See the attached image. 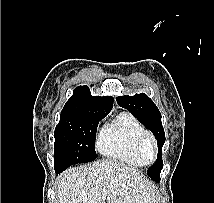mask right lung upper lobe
Returning <instances> with one entry per match:
<instances>
[{"mask_svg": "<svg viewBox=\"0 0 214 203\" xmlns=\"http://www.w3.org/2000/svg\"><path fill=\"white\" fill-rule=\"evenodd\" d=\"M113 106L111 96H92L87 86L74 89V94L66 102L64 108H85L98 113L108 114Z\"/></svg>", "mask_w": 214, "mask_h": 203, "instance_id": "1", "label": "right lung upper lobe"}]
</instances>
